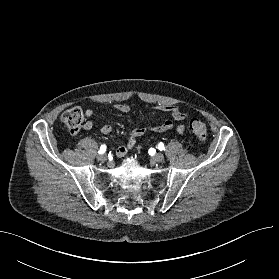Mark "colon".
Here are the masks:
<instances>
[{"label": "colon", "mask_w": 279, "mask_h": 279, "mask_svg": "<svg viewBox=\"0 0 279 279\" xmlns=\"http://www.w3.org/2000/svg\"><path fill=\"white\" fill-rule=\"evenodd\" d=\"M61 120L70 130V132L75 134L80 130L82 126L84 114L80 108L74 107L66 110L62 114ZM190 129L199 140L206 139L208 134V127L203 121L198 119L192 120L190 123Z\"/></svg>", "instance_id": "colon-1"}]
</instances>
